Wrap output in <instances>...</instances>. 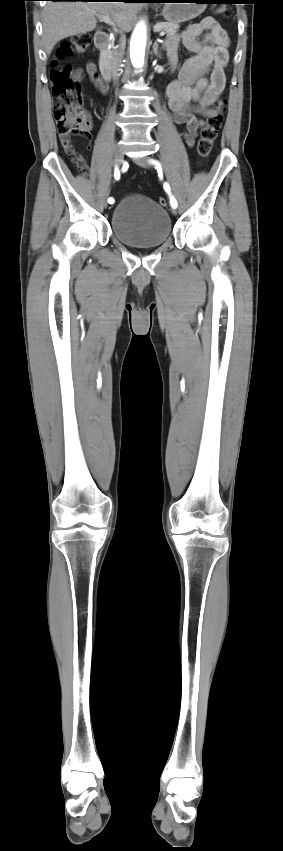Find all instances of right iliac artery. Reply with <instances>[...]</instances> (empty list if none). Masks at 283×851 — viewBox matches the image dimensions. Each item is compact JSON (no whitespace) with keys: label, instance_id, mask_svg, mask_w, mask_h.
<instances>
[{"label":"right iliac artery","instance_id":"right-iliac-artery-1","mask_svg":"<svg viewBox=\"0 0 283 851\" xmlns=\"http://www.w3.org/2000/svg\"><path fill=\"white\" fill-rule=\"evenodd\" d=\"M114 178H115V179H117V180L120 178V173H119L118 168H115ZM108 202H109L110 204H113V203H114V199L110 197V198L108 199Z\"/></svg>","mask_w":283,"mask_h":851}]
</instances>
